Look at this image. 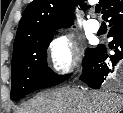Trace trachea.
<instances>
[{"mask_svg": "<svg viewBox=\"0 0 123 113\" xmlns=\"http://www.w3.org/2000/svg\"><path fill=\"white\" fill-rule=\"evenodd\" d=\"M100 10H101L100 6H99V5H97V6L95 7V11H96V13H100Z\"/></svg>", "mask_w": 123, "mask_h": 113, "instance_id": "1", "label": "trachea"}]
</instances>
